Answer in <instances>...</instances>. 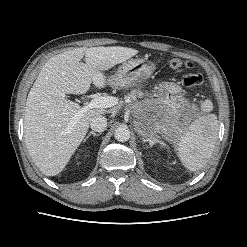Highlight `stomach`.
<instances>
[{"label":"stomach","instance_id":"obj_1","mask_svg":"<svg viewBox=\"0 0 247 247\" xmlns=\"http://www.w3.org/2000/svg\"><path fill=\"white\" fill-rule=\"evenodd\" d=\"M155 69L152 62L131 58L122 63L110 76L111 86L128 88L136 86L151 76ZM156 99L145 101L135 112L134 126L143 138H154L161 134L165 138H178L180 113L186 106L182 88L174 82H163L156 88Z\"/></svg>","mask_w":247,"mask_h":247}]
</instances>
